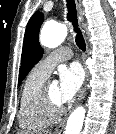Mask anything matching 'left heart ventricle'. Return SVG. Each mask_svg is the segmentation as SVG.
Here are the masks:
<instances>
[{"instance_id": "b2bd125f", "label": "left heart ventricle", "mask_w": 116, "mask_h": 134, "mask_svg": "<svg viewBox=\"0 0 116 134\" xmlns=\"http://www.w3.org/2000/svg\"><path fill=\"white\" fill-rule=\"evenodd\" d=\"M48 92L50 97L55 101V102H60L59 100V87L57 84H48Z\"/></svg>"}]
</instances>
